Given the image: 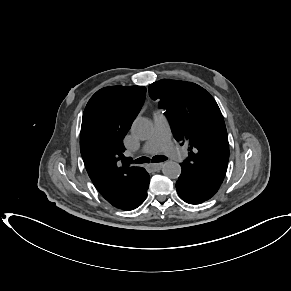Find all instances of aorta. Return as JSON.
Wrapping results in <instances>:
<instances>
[{
	"label": "aorta",
	"mask_w": 291,
	"mask_h": 291,
	"mask_svg": "<svg viewBox=\"0 0 291 291\" xmlns=\"http://www.w3.org/2000/svg\"><path fill=\"white\" fill-rule=\"evenodd\" d=\"M132 134L140 140H147L153 134V124L147 118H136L132 125ZM162 172L165 176L176 179L181 174V166L174 161H168L164 164Z\"/></svg>",
	"instance_id": "1"
}]
</instances>
